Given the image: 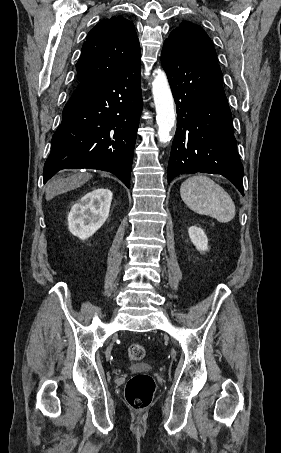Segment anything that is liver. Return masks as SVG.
<instances>
[{
    "mask_svg": "<svg viewBox=\"0 0 281 453\" xmlns=\"http://www.w3.org/2000/svg\"><path fill=\"white\" fill-rule=\"evenodd\" d=\"M91 176L90 172H76V174H71L67 178H52L47 182L45 188L46 200H51L56 194H63V192L82 186Z\"/></svg>",
    "mask_w": 281,
    "mask_h": 453,
    "instance_id": "liver-1",
    "label": "liver"
}]
</instances>
